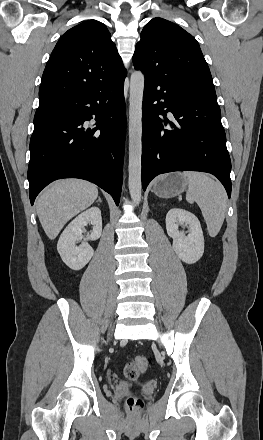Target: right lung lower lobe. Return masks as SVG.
Masks as SVG:
<instances>
[{
  "label": "right lung lower lobe",
  "mask_w": 263,
  "mask_h": 440,
  "mask_svg": "<svg viewBox=\"0 0 263 440\" xmlns=\"http://www.w3.org/2000/svg\"><path fill=\"white\" fill-rule=\"evenodd\" d=\"M124 79L64 99L34 124L28 166L29 197L54 180L95 183L119 204L126 133ZM95 117L96 126L86 121Z\"/></svg>",
  "instance_id": "1"
}]
</instances>
